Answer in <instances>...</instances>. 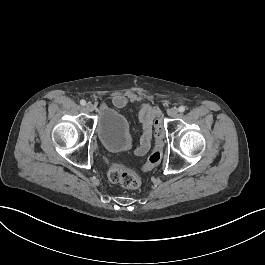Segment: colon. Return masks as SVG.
<instances>
[{
    "label": "colon",
    "instance_id": "1",
    "mask_svg": "<svg viewBox=\"0 0 265 265\" xmlns=\"http://www.w3.org/2000/svg\"><path fill=\"white\" fill-rule=\"evenodd\" d=\"M155 131V148L147 156L143 165L144 171H149L160 164L162 160V147H163V127L162 123L158 121L154 128ZM108 179L122 185L127 189H137L141 186L142 181L140 176L129 171L125 165L121 163H114L110 166L107 173Z\"/></svg>",
    "mask_w": 265,
    "mask_h": 265
}]
</instances>
